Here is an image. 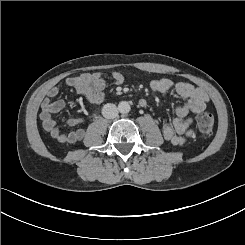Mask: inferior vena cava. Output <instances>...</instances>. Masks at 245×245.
<instances>
[{
  "mask_svg": "<svg viewBox=\"0 0 245 245\" xmlns=\"http://www.w3.org/2000/svg\"><path fill=\"white\" fill-rule=\"evenodd\" d=\"M102 115L106 119H114L118 115V109L114 104L107 103L102 107Z\"/></svg>",
  "mask_w": 245,
  "mask_h": 245,
  "instance_id": "1",
  "label": "inferior vena cava"
}]
</instances>
